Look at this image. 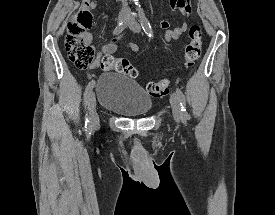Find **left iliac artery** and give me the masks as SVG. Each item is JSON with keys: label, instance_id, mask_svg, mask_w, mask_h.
I'll list each match as a JSON object with an SVG mask.
<instances>
[{"label": "left iliac artery", "instance_id": "left-iliac-artery-1", "mask_svg": "<svg viewBox=\"0 0 275 215\" xmlns=\"http://www.w3.org/2000/svg\"><path fill=\"white\" fill-rule=\"evenodd\" d=\"M139 14H140V21L142 25V29L144 32L147 34L148 37L153 38V32L151 25L147 18L145 17L144 11L142 9H139ZM176 94L179 97L180 100V106H181V118L183 121H186L190 118V115L188 114L186 110V101H185V96L182 93V91L179 88H176Z\"/></svg>", "mask_w": 275, "mask_h": 215}]
</instances>
